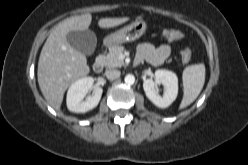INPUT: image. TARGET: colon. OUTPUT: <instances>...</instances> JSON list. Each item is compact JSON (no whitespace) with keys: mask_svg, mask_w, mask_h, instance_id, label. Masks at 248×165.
I'll return each instance as SVG.
<instances>
[{"mask_svg":"<svg viewBox=\"0 0 248 165\" xmlns=\"http://www.w3.org/2000/svg\"><path fill=\"white\" fill-rule=\"evenodd\" d=\"M163 37L169 41H178L183 37V33L175 29H166L163 31ZM181 59L184 63L190 62L192 59V50L189 47L181 51Z\"/></svg>","mask_w":248,"mask_h":165,"instance_id":"5ec220e1","label":"colon"}]
</instances>
